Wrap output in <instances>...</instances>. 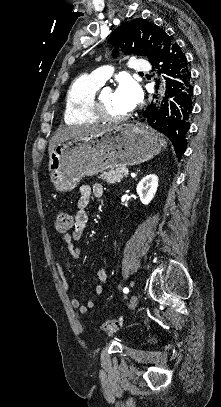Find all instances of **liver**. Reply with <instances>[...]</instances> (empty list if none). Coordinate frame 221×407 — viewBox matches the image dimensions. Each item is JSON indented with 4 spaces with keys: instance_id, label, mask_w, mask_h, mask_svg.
Wrapping results in <instances>:
<instances>
[{
    "instance_id": "1",
    "label": "liver",
    "mask_w": 221,
    "mask_h": 407,
    "mask_svg": "<svg viewBox=\"0 0 221 407\" xmlns=\"http://www.w3.org/2000/svg\"><path fill=\"white\" fill-rule=\"evenodd\" d=\"M110 128L112 127L106 125H80L59 129L58 131H56L55 135L52 137L49 143L48 147L49 155L52 153L56 145L63 141L85 136H92L102 131L108 130Z\"/></svg>"
}]
</instances>
